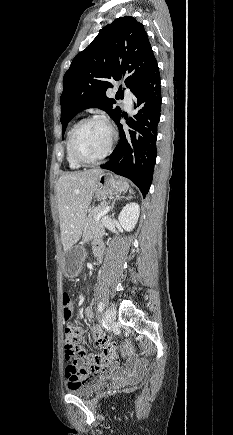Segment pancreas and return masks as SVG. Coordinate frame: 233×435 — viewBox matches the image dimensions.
<instances>
[{"instance_id": "pancreas-1", "label": "pancreas", "mask_w": 233, "mask_h": 435, "mask_svg": "<svg viewBox=\"0 0 233 435\" xmlns=\"http://www.w3.org/2000/svg\"><path fill=\"white\" fill-rule=\"evenodd\" d=\"M106 207L107 204L103 203L96 209L92 210L86 217L83 230V239L85 241H89L95 237L104 235L105 229L103 226V221L106 217V214L101 216L98 220L96 218L105 210Z\"/></svg>"}]
</instances>
